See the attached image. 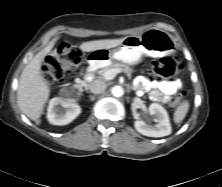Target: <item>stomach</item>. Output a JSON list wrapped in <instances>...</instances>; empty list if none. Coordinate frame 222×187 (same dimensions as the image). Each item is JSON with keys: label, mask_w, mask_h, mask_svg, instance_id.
<instances>
[{"label": "stomach", "mask_w": 222, "mask_h": 187, "mask_svg": "<svg viewBox=\"0 0 222 187\" xmlns=\"http://www.w3.org/2000/svg\"><path fill=\"white\" fill-rule=\"evenodd\" d=\"M176 43L169 33L153 28L140 36H127L123 42L112 50L98 49L89 56L91 64L120 61L130 65L137 64L141 57L148 55L160 57L176 50Z\"/></svg>", "instance_id": "1"}]
</instances>
